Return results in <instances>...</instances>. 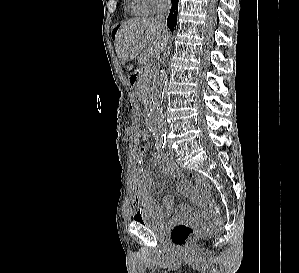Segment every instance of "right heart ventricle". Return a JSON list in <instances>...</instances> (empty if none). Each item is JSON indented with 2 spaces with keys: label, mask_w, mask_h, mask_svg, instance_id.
Listing matches in <instances>:
<instances>
[{
  "label": "right heart ventricle",
  "mask_w": 299,
  "mask_h": 273,
  "mask_svg": "<svg viewBox=\"0 0 299 273\" xmlns=\"http://www.w3.org/2000/svg\"><path fill=\"white\" fill-rule=\"evenodd\" d=\"M133 3V10L138 13V14H142V12L140 11V9L138 8L136 2L134 0H132Z\"/></svg>",
  "instance_id": "obj_1"
}]
</instances>
